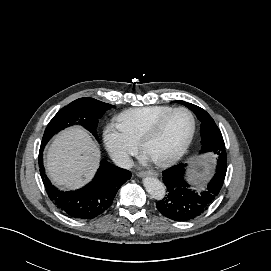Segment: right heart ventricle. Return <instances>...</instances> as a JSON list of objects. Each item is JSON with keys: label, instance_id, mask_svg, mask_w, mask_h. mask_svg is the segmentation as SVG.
<instances>
[{"label": "right heart ventricle", "instance_id": "e07e8e85", "mask_svg": "<svg viewBox=\"0 0 271 271\" xmlns=\"http://www.w3.org/2000/svg\"><path fill=\"white\" fill-rule=\"evenodd\" d=\"M167 105L145 106L122 112L118 117V125L135 143H139L142 135L163 115L172 110Z\"/></svg>", "mask_w": 271, "mask_h": 271}]
</instances>
